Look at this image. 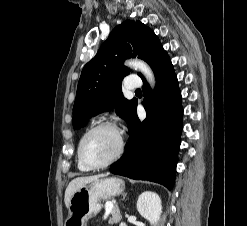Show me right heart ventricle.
Instances as JSON below:
<instances>
[{
	"mask_svg": "<svg viewBox=\"0 0 247 226\" xmlns=\"http://www.w3.org/2000/svg\"><path fill=\"white\" fill-rule=\"evenodd\" d=\"M77 164H78V168L82 171H87L89 170L88 168H86L82 163L81 161L79 160V157H78V161H77Z\"/></svg>",
	"mask_w": 247,
	"mask_h": 226,
	"instance_id": "1",
	"label": "right heart ventricle"
}]
</instances>
